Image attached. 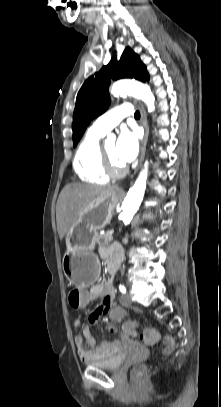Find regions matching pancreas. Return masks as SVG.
I'll list each match as a JSON object with an SVG mask.
<instances>
[{"label":"pancreas","mask_w":221,"mask_h":407,"mask_svg":"<svg viewBox=\"0 0 221 407\" xmlns=\"http://www.w3.org/2000/svg\"><path fill=\"white\" fill-rule=\"evenodd\" d=\"M112 240H113V237H112L111 232H106L104 234H100L97 236V239H96L97 244L100 247L109 246V244L111 243Z\"/></svg>","instance_id":"obj_1"}]
</instances>
